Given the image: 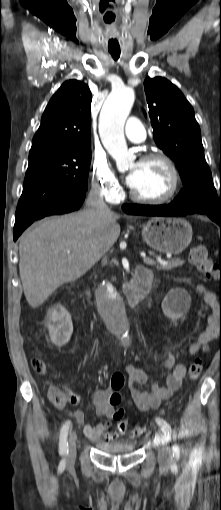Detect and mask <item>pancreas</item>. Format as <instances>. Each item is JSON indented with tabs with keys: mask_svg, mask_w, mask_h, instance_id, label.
<instances>
[{
	"mask_svg": "<svg viewBox=\"0 0 221 510\" xmlns=\"http://www.w3.org/2000/svg\"><path fill=\"white\" fill-rule=\"evenodd\" d=\"M149 254L152 256H155L154 252L150 251ZM183 264H184V260L179 259V258H174V259L167 261V264L161 263V264H158L156 267H157V269L162 270V271H170L174 268L182 266Z\"/></svg>",
	"mask_w": 221,
	"mask_h": 510,
	"instance_id": "pancreas-1",
	"label": "pancreas"
}]
</instances>
